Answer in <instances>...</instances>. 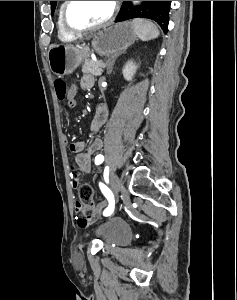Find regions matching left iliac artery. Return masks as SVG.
Masks as SVG:
<instances>
[{"instance_id": "left-iliac-artery-1", "label": "left iliac artery", "mask_w": 237, "mask_h": 300, "mask_svg": "<svg viewBox=\"0 0 237 300\" xmlns=\"http://www.w3.org/2000/svg\"><path fill=\"white\" fill-rule=\"evenodd\" d=\"M103 161H104V156L103 155H97L95 157V164L96 165L101 164ZM104 172L109 173V167L108 166L105 167ZM99 187H100L102 193L105 195V197L109 201V206L104 210L103 215L104 216H109L114 211V203L115 202H114L113 194L111 193L109 188L101 182L99 183Z\"/></svg>"}]
</instances>
